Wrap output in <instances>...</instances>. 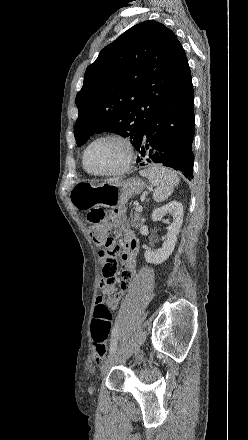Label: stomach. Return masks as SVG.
I'll return each mask as SVG.
<instances>
[{
    "instance_id": "obj_1",
    "label": "stomach",
    "mask_w": 248,
    "mask_h": 440,
    "mask_svg": "<svg viewBox=\"0 0 248 440\" xmlns=\"http://www.w3.org/2000/svg\"><path fill=\"white\" fill-rule=\"evenodd\" d=\"M145 185L138 178L127 181H112L101 185L87 182L76 183L69 194V199L76 209L86 210L96 206L115 208L140 194Z\"/></svg>"
}]
</instances>
